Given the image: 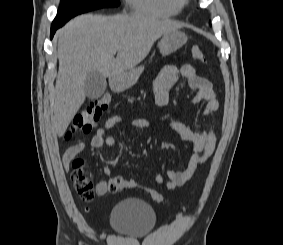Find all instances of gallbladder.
Returning a JSON list of instances; mask_svg holds the SVG:
<instances>
[{
  "instance_id": "1",
  "label": "gallbladder",
  "mask_w": 283,
  "mask_h": 245,
  "mask_svg": "<svg viewBox=\"0 0 283 245\" xmlns=\"http://www.w3.org/2000/svg\"><path fill=\"white\" fill-rule=\"evenodd\" d=\"M106 78L98 71L87 74L84 81V89L89 99L100 98L106 90Z\"/></svg>"
}]
</instances>
